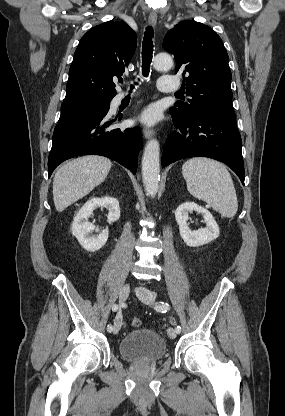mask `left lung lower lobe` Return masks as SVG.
Masks as SVG:
<instances>
[{"label":"left lung lower lobe","mask_w":285,"mask_h":416,"mask_svg":"<svg viewBox=\"0 0 285 416\" xmlns=\"http://www.w3.org/2000/svg\"><path fill=\"white\" fill-rule=\"evenodd\" d=\"M173 121L175 130L164 146L163 167L184 158L209 157L228 165L244 185L241 136L234 113L209 112Z\"/></svg>","instance_id":"1"}]
</instances>
